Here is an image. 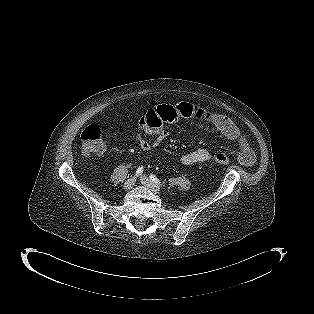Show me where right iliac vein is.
I'll return each instance as SVG.
<instances>
[{"instance_id": "1", "label": "right iliac vein", "mask_w": 314, "mask_h": 314, "mask_svg": "<svg viewBox=\"0 0 314 314\" xmlns=\"http://www.w3.org/2000/svg\"><path fill=\"white\" fill-rule=\"evenodd\" d=\"M134 183H135V178H130L124 183L123 188L125 190H130L134 186Z\"/></svg>"}]
</instances>
